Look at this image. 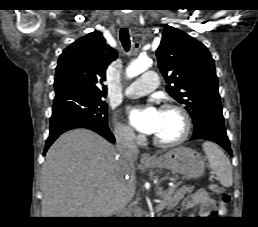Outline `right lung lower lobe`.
<instances>
[{"instance_id": "obj_1", "label": "right lung lower lobe", "mask_w": 258, "mask_h": 227, "mask_svg": "<svg viewBox=\"0 0 258 227\" xmlns=\"http://www.w3.org/2000/svg\"><path fill=\"white\" fill-rule=\"evenodd\" d=\"M74 128H87L92 131L97 132L108 141L114 143L115 139L110 129L107 127H99L91 125L83 120L78 118L70 117V116H55L51 117L50 120V134L46 141V146L44 150V154L50 147V145L60 136L62 133L74 129Z\"/></svg>"}]
</instances>
